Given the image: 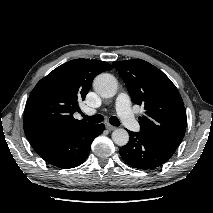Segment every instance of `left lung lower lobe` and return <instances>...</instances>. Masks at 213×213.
Masks as SVG:
<instances>
[{
    "label": "left lung lower lobe",
    "instance_id": "obj_1",
    "mask_svg": "<svg viewBox=\"0 0 213 213\" xmlns=\"http://www.w3.org/2000/svg\"><path fill=\"white\" fill-rule=\"evenodd\" d=\"M130 139L120 148L122 159L131 167L154 169L165 163L177 147L149 139L141 132L128 131Z\"/></svg>",
    "mask_w": 213,
    "mask_h": 213
}]
</instances>
